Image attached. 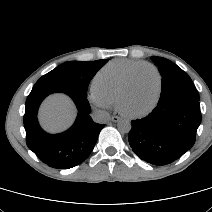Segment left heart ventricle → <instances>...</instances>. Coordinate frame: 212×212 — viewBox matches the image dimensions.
<instances>
[{
	"mask_svg": "<svg viewBox=\"0 0 212 212\" xmlns=\"http://www.w3.org/2000/svg\"><path fill=\"white\" fill-rule=\"evenodd\" d=\"M158 91V78L150 68L140 69L122 100V109L127 113H140L154 102Z\"/></svg>",
	"mask_w": 212,
	"mask_h": 212,
	"instance_id": "b2bd125f",
	"label": "left heart ventricle"
}]
</instances>
